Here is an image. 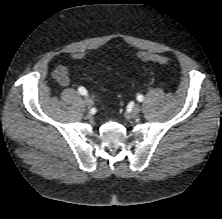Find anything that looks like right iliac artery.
I'll return each instance as SVG.
<instances>
[{
    "mask_svg": "<svg viewBox=\"0 0 222 219\" xmlns=\"http://www.w3.org/2000/svg\"><path fill=\"white\" fill-rule=\"evenodd\" d=\"M78 92H79L81 95H84V96H87V95H88L87 90H86L84 87H82V86L78 88Z\"/></svg>",
    "mask_w": 222,
    "mask_h": 219,
    "instance_id": "right-iliac-artery-1",
    "label": "right iliac artery"
}]
</instances>
